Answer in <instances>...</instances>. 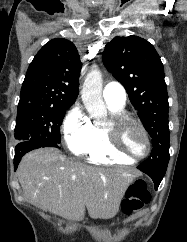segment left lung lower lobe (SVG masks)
<instances>
[{
	"instance_id": "0a47b994",
	"label": "left lung lower lobe",
	"mask_w": 187,
	"mask_h": 242,
	"mask_svg": "<svg viewBox=\"0 0 187 242\" xmlns=\"http://www.w3.org/2000/svg\"><path fill=\"white\" fill-rule=\"evenodd\" d=\"M138 169L141 170L142 172L146 173L147 175H149L153 182L155 183V189L158 188L159 184L161 183L164 174L166 171L163 170H156V169H150V168H145V167H141L138 166Z\"/></svg>"
}]
</instances>
